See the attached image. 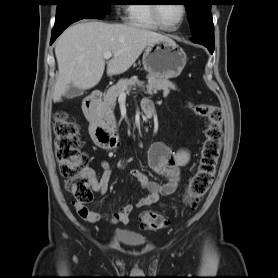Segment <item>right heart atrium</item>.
Here are the masks:
<instances>
[{
    "label": "right heart atrium",
    "mask_w": 278,
    "mask_h": 278,
    "mask_svg": "<svg viewBox=\"0 0 278 278\" xmlns=\"http://www.w3.org/2000/svg\"><path fill=\"white\" fill-rule=\"evenodd\" d=\"M121 12H125L126 9L125 8H122V9H119Z\"/></svg>",
    "instance_id": "d8ad5b80"
}]
</instances>
